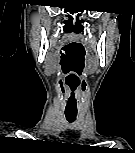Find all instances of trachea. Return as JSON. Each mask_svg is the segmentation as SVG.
Returning a JSON list of instances; mask_svg holds the SVG:
<instances>
[{
  "mask_svg": "<svg viewBox=\"0 0 135 153\" xmlns=\"http://www.w3.org/2000/svg\"><path fill=\"white\" fill-rule=\"evenodd\" d=\"M65 116L68 122L73 123L76 119L77 113L76 112H65Z\"/></svg>",
  "mask_w": 135,
  "mask_h": 153,
  "instance_id": "1",
  "label": "trachea"
}]
</instances>
